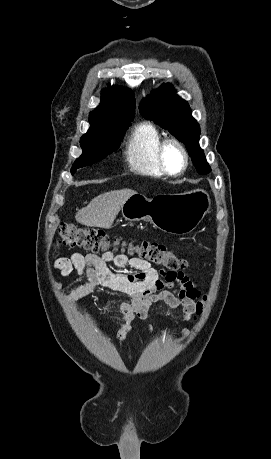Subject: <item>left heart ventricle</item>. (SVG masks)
<instances>
[{
	"instance_id": "obj_1",
	"label": "left heart ventricle",
	"mask_w": 271,
	"mask_h": 459,
	"mask_svg": "<svg viewBox=\"0 0 271 459\" xmlns=\"http://www.w3.org/2000/svg\"><path fill=\"white\" fill-rule=\"evenodd\" d=\"M166 161L172 171H180L184 168L185 157L179 147L175 144H169L165 151Z\"/></svg>"
}]
</instances>
